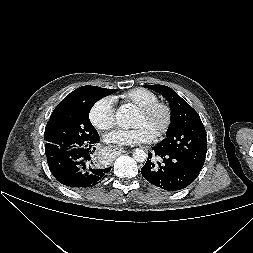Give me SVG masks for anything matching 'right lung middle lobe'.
Masks as SVG:
<instances>
[{
    "instance_id": "dd1d6c3e",
    "label": "right lung middle lobe",
    "mask_w": 253,
    "mask_h": 253,
    "mask_svg": "<svg viewBox=\"0 0 253 253\" xmlns=\"http://www.w3.org/2000/svg\"><path fill=\"white\" fill-rule=\"evenodd\" d=\"M116 91L82 86L65 97L54 109L45 128L46 157L92 143L98 133L89 121V111L98 100Z\"/></svg>"
}]
</instances>
